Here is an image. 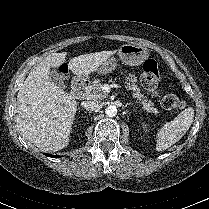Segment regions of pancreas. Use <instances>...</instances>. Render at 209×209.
<instances>
[{"mask_svg": "<svg viewBox=\"0 0 209 209\" xmlns=\"http://www.w3.org/2000/svg\"><path fill=\"white\" fill-rule=\"evenodd\" d=\"M125 80L128 88L133 92L132 97L138 100V103L142 105V108L149 113L158 114L157 109L153 107V103L151 101H148L146 97L141 94L140 89L136 84L137 78L134 75L130 74L128 77L125 78ZM102 86L103 85L101 84L100 80L97 79L93 81L92 84L89 85L85 90V99L94 101L102 100L105 97V95L101 92Z\"/></svg>", "mask_w": 209, "mask_h": 209, "instance_id": "obj_1", "label": "pancreas"}]
</instances>
